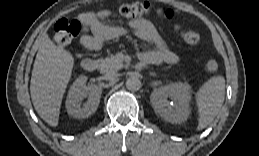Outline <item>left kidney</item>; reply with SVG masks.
<instances>
[{"label":"left kidney","instance_id":"5707ae66","mask_svg":"<svg viewBox=\"0 0 259 156\" xmlns=\"http://www.w3.org/2000/svg\"><path fill=\"white\" fill-rule=\"evenodd\" d=\"M168 98L174 101V106L170 105ZM150 101L154 110L165 120L184 122L190 114L191 86L186 82L165 85L153 91Z\"/></svg>","mask_w":259,"mask_h":156}]
</instances>
